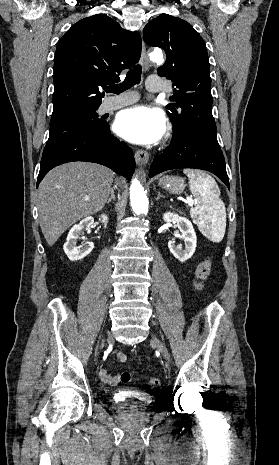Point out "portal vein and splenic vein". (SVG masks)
<instances>
[{"instance_id":"portal-vein-and-splenic-vein-1","label":"portal vein and splenic vein","mask_w":279,"mask_h":465,"mask_svg":"<svg viewBox=\"0 0 279 465\" xmlns=\"http://www.w3.org/2000/svg\"><path fill=\"white\" fill-rule=\"evenodd\" d=\"M85 200H89V198H85ZM187 202L189 203V205H192L193 204V200L192 198H187Z\"/></svg>"}]
</instances>
